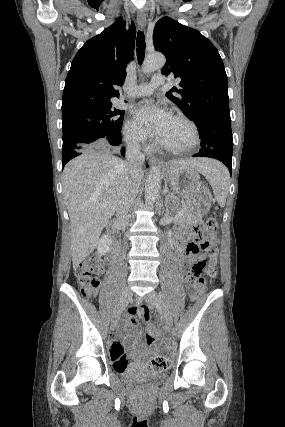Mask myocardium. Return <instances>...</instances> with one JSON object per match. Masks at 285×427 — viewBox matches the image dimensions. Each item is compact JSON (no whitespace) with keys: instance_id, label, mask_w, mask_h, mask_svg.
Returning a JSON list of instances; mask_svg holds the SVG:
<instances>
[{"instance_id":"obj_1","label":"myocardium","mask_w":285,"mask_h":427,"mask_svg":"<svg viewBox=\"0 0 285 427\" xmlns=\"http://www.w3.org/2000/svg\"><path fill=\"white\" fill-rule=\"evenodd\" d=\"M172 118H175L177 120L184 122L190 128L192 133V142L188 146L180 148V147L171 146L161 141L160 143L161 146L169 152L178 153V154H185L193 151L196 147L199 146L201 142L200 133L197 125L189 117L180 113L173 114Z\"/></svg>"}]
</instances>
